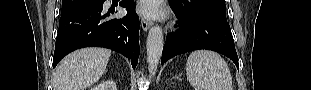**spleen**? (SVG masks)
I'll return each mask as SVG.
<instances>
[{
  "mask_svg": "<svg viewBox=\"0 0 311 90\" xmlns=\"http://www.w3.org/2000/svg\"><path fill=\"white\" fill-rule=\"evenodd\" d=\"M186 74L194 90H233L228 65L215 52H192L187 59Z\"/></svg>",
  "mask_w": 311,
  "mask_h": 90,
  "instance_id": "spleen-1",
  "label": "spleen"
}]
</instances>
